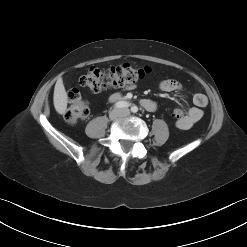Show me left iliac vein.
I'll return each mask as SVG.
<instances>
[{"label": "left iliac vein", "mask_w": 247, "mask_h": 247, "mask_svg": "<svg viewBox=\"0 0 247 247\" xmlns=\"http://www.w3.org/2000/svg\"><path fill=\"white\" fill-rule=\"evenodd\" d=\"M128 110L127 109H124L123 112L126 113Z\"/></svg>", "instance_id": "1"}]
</instances>
